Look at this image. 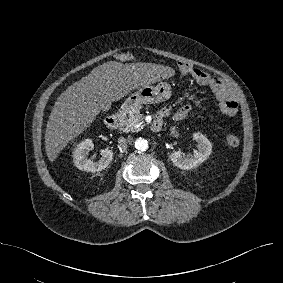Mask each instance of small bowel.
<instances>
[{
    "instance_id": "1",
    "label": "small bowel",
    "mask_w": 283,
    "mask_h": 283,
    "mask_svg": "<svg viewBox=\"0 0 283 283\" xmlns=\"http://www.w3.org/2000/svg\"><path fill=\"white\" fill-rule=\"evenodd\" d=\"M185 73L191 74L198 84L209 86L212 89L219 101L218 112L220 114L232 117L237 113L238 102L233 97L229 88L218 77L211 76L208 72L198 68H192ZM194 110V105L187 104L173 113L169 109H162L159 111L157 117L161 118L162 121L167 117H170L174 121H181L191 115Z\"/></svg>"
}]
</instances>
